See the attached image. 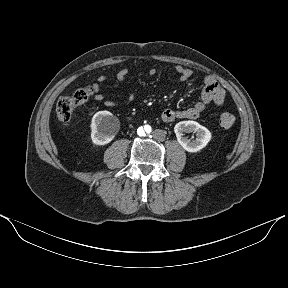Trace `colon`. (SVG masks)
<instances>
[{"label": "colon", "instance_id": "5ec220e1", "mask_svg": "<svg viewBox=\"0 0 288 288\" xmlns=\"http://www.w3.org/2000/svg\"><path fill=\"white\" fill-rule=\"evenodd\" d=\"M93 92L91 87H79L71 94L60 97L56 105L58 120L63 125H66L70 121L75 108L79 104L86 102ZM219 122L223 128L228 129L233 126L235 118L230 113H223L220 116Z\"/></svg>", "mask_w": 288, "mask_h": 288}]
</instances>
